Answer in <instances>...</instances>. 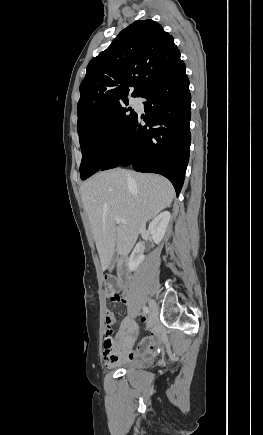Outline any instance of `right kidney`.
Masks as SVG:
<instances>
[{"label": "right kidney", "instance_id": "ca27d5eb", "mask_svg": "<svg viewBox=\"0 0 263 435\" xmlns=\"http://www.w3.org/2000/svg\"><path fill=\"white\" fill-rule=\"evenodd\" d=\"M171 219V214L168 211H164L156 216L152 222L149 224L148 231L156 244H159L163 239L165 232L167 230L168 224ZM145 256L143 255V249L138 244L129 258V270L135 271L139 265L144 260Z\"/></svg>", "mask_w": 263, "mask_h": 435}]
</instances>
